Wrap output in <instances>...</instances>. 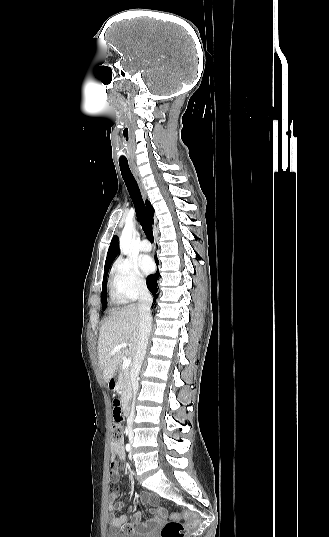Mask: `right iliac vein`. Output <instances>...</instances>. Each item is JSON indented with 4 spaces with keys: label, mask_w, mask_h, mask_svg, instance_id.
Returning a JSON list of instances; mask_svg holds the SVG:
<instances>
[{
    "label": "right iliac vein",
    "mask_w": 329,
    "mask_h": 537,
    "mask_svg": "<svg viewBox=\"0 0 329 537\" xmlns=\"http://www.w3.org/2000/svg\"><path fill=\"white\" fill-rule=\"evenodd\" d=\"M130 440L132 441V440H133V438H131V437H130Z\"/></svg>",
    "instance_id": "1"
}]
</instances>
